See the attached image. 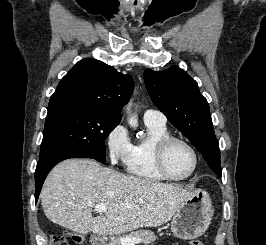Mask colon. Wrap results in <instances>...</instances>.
I'll return each instance as SVG.
<instances>
[{
	"label": "colon",
	"instance_id": "1",
	"mask_svg": "<svg viewBox=\"0 0 266 245\" xmlns=\"http://www.w3.org/2000/svg\"><path fill=\"white\" fill-rule=\"evenodd\" d=\"M69 234L67 232H64L62 234H52L50 236V243L51 245H69L68 240L65 236H68ZM72 239L75 243H80L82 241V237L78 234H73ZM192 245H200V242L198 240H194L191 243Z\"/></svg>",
	"mask_w": 266,
	"mask_h": 245
}]
</instances>
